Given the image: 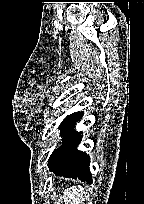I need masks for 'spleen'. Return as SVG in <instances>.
<instances>
[{"mask_svg": "<svg viewBox=\"0 0 144 204\" xmlns=\"http://www.w3.org/2000/svg\"><path fill=\"white\" fill-rule=\"evenodd\" d=\"M76 191L78 192V199H79V197H80V194H79V192H82L83 191V187L82 186H80V185H78V188H71V189H69L68 190V192H67V202H68V199L70 200V199H75V195H76ZM66 204H68V203H66ZM72 204V203H71Z\"/></svg>", "mask_w": 144, "mask_h": 204, "instance_id": "obj_1", "label": "spleen"}]
</instances>
